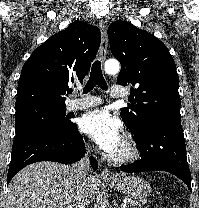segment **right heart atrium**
Instances as JSON below:
<instances>
[{"label":"right heart atrium","mask_w":199,"mask_h":208,"mask_svg":"<svg viewBox=\"0 0 199 208\" xmlns=\"http://www.w3.org/2000/svg\"><path fill=\"white\" fill-rule=\"evenodd\" d=\"M86 147H87L88 150H90V146L87 145Z\"/></svg>","instance_id":"d8ad5b80"}]
</instances>
